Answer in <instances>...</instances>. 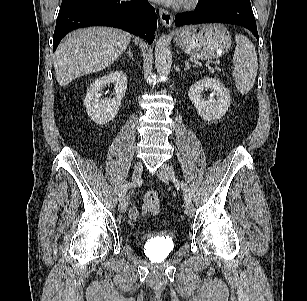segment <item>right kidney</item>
Masks as SVG:
<instances>
[{
  "instance_id": "right-kidney-1",
  "label": "right kidney",
  "mask_w": 307,
  "mask_h": 301,
  "mask_svg": "<svg viewBox=\"0 0 307 301\" xmlns=\"http://www.w3.org/2000/svg\"><path fill=\"white\" fill-rule=\"evenodd\" d=\"M114 84V98L101 99L100 90L107 84ZM127 90V77L123 71H113L96 79L87 91L84 105L89 117L97 124L113 120L119 111L121 100Z\"/></svg>"
}]
</instances>
